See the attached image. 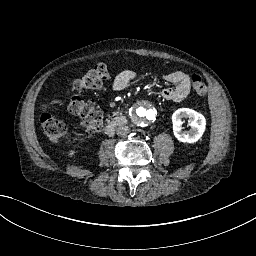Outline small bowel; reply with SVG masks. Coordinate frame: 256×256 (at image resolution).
Returning <instances> with one entry per match:
<instances>
[{"label":"small bowel","mask_w":256,"mask_h":256,"mask_svg":"<svg viewBox=\"0 0 256 256\" xmlns=\"http://www.w3.org/2000/svg\"><path fill=\"white\" fill-rule=\"evenodd\" d=\"M136 77V73L132 70H124L120 72L113 80L112 86L116 91H122L129 88L133 80ZM164 79L174 84V87L164 88L160 91L162 98L175 102L184 100L190 93L191 90V79L190 77L182 72L175 71L164 76Z\"/></svg>","instance_id":"c3829d8e"}]
</instances>
